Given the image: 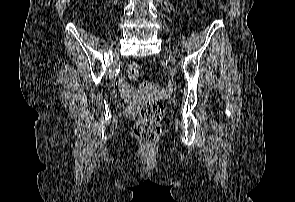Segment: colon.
<instances>
[{"mask_svg":"<svg viewBox=\"0 0 295 202\" xmlns=\"http://www.w3.org/2000/svg\"><path fill=\"white\" fill-rule=\"evenodd\" d=\"M127 74L130 79H137L140 74V67L136 63L128 66ZM140 89L145 92L159 93L162 88L153 82H143ZM164 106L159 100H150L141 107L139 119L134 125L133 134L145 143L155 141L161 133L160 121L163 117Z\"/></svg>","mask_w":295,"mask_h":202,"instance_id":"obj_1","label":"colon"}]
</instances>
